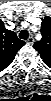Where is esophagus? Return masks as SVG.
Segmentation results:
<instances>
[{
  "mask_svg": "<svg viewBox=\"0 0 51 101\" xmlns=\"http://www.w3.org/2000/svg\"><path fill=\"white\" fill-rule=\"evenodd\" d=\"M27 44H30V45H32L33 43H34V38H33V36H30L28 39H27Z\"/></svg>",
  "mask_w": 51,
  "mask_h": 101,
  "instance_id": "obj_1",
  "label": "esophagus"
}]
</instances>
